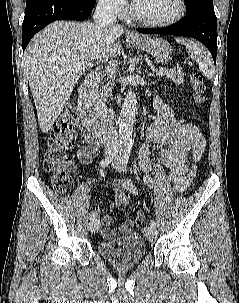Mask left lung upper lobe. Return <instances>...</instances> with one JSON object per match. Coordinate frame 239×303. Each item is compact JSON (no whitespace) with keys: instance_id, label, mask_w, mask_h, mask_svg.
<instances>
[{"instance_id":"left-lung-upper-lobe-1","label":"left lung upper lobe","mask_w":239,"mask_h":303,"mask_svg":"<svg viewBox=\"0 0 239 303\" xmlns=\"http://www.w3.org/2000/svg\"><path fill=\"white\" fill-rule=\"evenodd\" d=\"M186 12L190 13L202 6H212L213 0H185Z\"/></svg>"}]
</instances>
